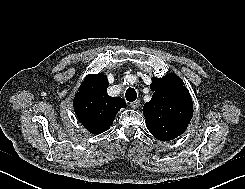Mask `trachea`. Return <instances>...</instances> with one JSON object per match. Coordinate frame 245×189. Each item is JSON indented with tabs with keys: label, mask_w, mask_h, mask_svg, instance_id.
<instances>
[{
	"label": "trachea",
	"mask_w": 245,
	"mask_h": 189,
	"mask_svg": "<svg viewBox=\"0 0 245 189\" xmlns=\"http://www.w3.org/2000/svg\"><path fill=\"white\" fill-rule=\"evenodd\" d=\"M125 97L128 101L132 102L137 99V92L134 88H128L125 93Z\"/></svg>",
	"instance_id": "1"
}]
</instances>
